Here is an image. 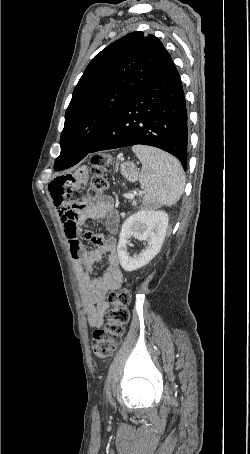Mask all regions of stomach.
I'll use <instances>...</instances> for the list:
<instances>
[{
    "instance_id": "obj_1",
    "label": "stomach",
    "mask_w": 250,
    "mask_h": 454,
    "mask_svg": "<svg viewBox=\"0 0 250 454\" xmlns=\"http://www.w3.org/2000/svg\"><path fill=\"white\" fill-rule=\"evenodd\" d=\"M121 173L130 181H136L138 179V172L135 170V166L132 162H125L121 164Z\"/></svg>"
}]
</instances>
